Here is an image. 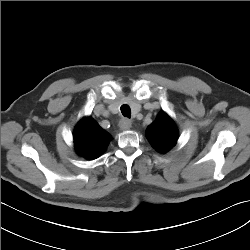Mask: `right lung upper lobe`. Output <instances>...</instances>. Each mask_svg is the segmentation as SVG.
<instances>
[{"instance_id":"cb5924a9","label":"right lung upper lobe","mask_w":250,"mask_h":250,"mask_svg":"<svg viewBox=\"0 0 250 250\" xmlns=\"http://www.w3.org/2000/svg\"><path fill=\"white\" fill-rule=\"evenodd\" d=\"M111 135L104 131L91 117L83 118L74 131V143L78 154L95 159L106 148Z\"/></svg>"}]
</instances>
